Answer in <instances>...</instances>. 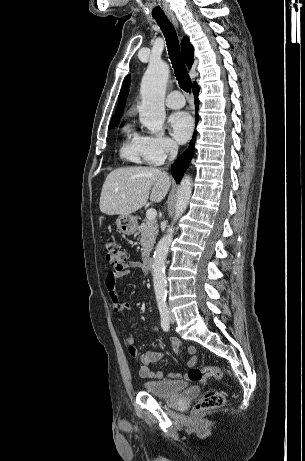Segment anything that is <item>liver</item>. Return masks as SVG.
Segmentation results:
<instances>
[{
	"label": "liver",
	"instance_id": "liver-1",
	"mask_svg": "<svg viewBox=\"0 0 305 461\" xmlns=\"http://www.w3.org/2000/svg\"><path fill=\"white\" fill-rule=\"evenodd\" d=\"M171 186L167 173L154 167H127L111 171L103 184L100 211L130 215L148 202H161Z\"/></svg>",
	"mask_w": 305,
	"mask_h": 461
}]
</instances>
